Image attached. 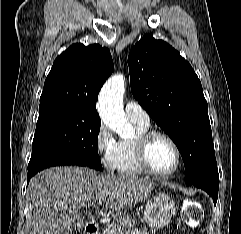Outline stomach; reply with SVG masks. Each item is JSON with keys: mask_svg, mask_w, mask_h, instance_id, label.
Listing matches in <instances>:
<instances>
[{"mask_svg": "<svg viewBox=\"0 0 241 234\" xmlns=\"http://www.w3.org/2000/svg\"><path fill=\"white\" fill-rule=\"evenodd\" d=\"M173 213V204L163 195L148 199L144 205V220L151 230L165 227Z\"/></svg>", "mask_w": 241, "mask_h": 234, "instance_id": "1", "label": "stomach"}]
</instances>
